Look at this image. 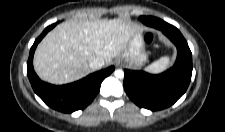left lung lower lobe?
<instances>
[{
  "label": "left lung lower lobe",
  "mask_w": 225,
  "mask_h": 132,
  "mask_svg": "<svg viewBox=\"0 0 225 132\" xmlns=\"http://www.w3.org/2000/svg\"><path fill=\"white\" fill-rule=\"evenodd\" d=\"M147 26L159 29L177 47L172 68L158 75L144 71L124 70V89L139 107L152 111L173 105L187 90L192 75V54L180 31L156 17H142Z\"/></svg>",
  "instance_id": "1"
}]
</instances>
